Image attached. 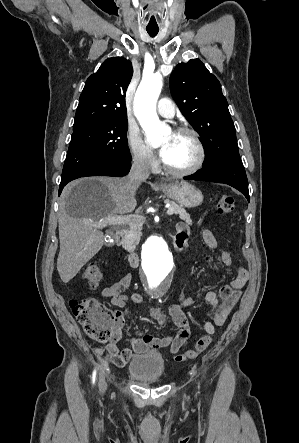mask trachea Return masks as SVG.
<instances>
[{"instance_id":"obj_1","label":"trachea","mask_w":299,"mask_h":443,"mask_svg":"<svg viewBox=\"0 0 299 443\" xmlns=\"http://www.w3.org/2000/svg\"><path fill=\"white\" fill-rule=\"evenodd\" d=\"M151 37H155L158 34V30H147Z\"/></svg>"}]
</instances>
